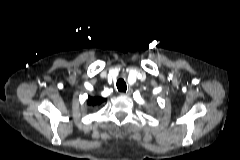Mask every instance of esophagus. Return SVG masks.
<instances>
[{"instance_id":"34e87169","label":"esophagus","mask_w":240,"mask_h":160,"mask_svg":"<svg viewBox=\"0 0 240 160\" xmlns=\"http://www.w3.org/2000/svg\"><path fill=\"white\" fill-rule=\"evenodd\" d=\"M130 94H131L130 91L122 93V95H125V96H130Z\"/></svg>"}]
</instances>
